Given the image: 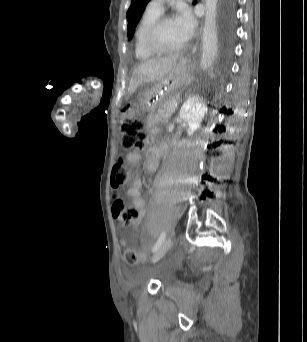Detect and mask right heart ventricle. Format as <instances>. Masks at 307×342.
<instances>
[{
  "label": "right heart ventricle",
  "mask_w": 307,
  "mask_h": 342,
  "mask_svg": "<svg viewBox=\"0 0 307 342\" xmlns=\"http://www.w3.org/2000/svg\"><path fill=\"white\" fill-rule=\"evenodd\" d=\"M160 14L152 11L147 7L140 14L134 31V53L135 57L140 61H150L156 56L148 52L143 43V38L149 24Z\"/></svg>",
  "instance_id": "right-heart-ventricle-1"
}]
</instances>
